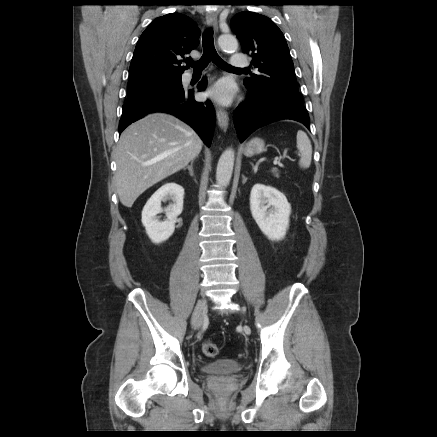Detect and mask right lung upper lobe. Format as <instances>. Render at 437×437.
I'll list each match as a JSON object with an SVG mask.
<instances>
[{
    "label": "right lung upper lobe",
    "mask_w": 437,
    "mask_h": 437,
    "mask_svg": "<svg viewBox=\"0 0 437 437\" xmlns=\"http://www.w3.org/2000/svg\"><path fill=\"white\" fill-rule=\"evenodd\" d=\"M200 29L186 15L170 13L154 19L134 50L129 78L181 76L185 55L199 44ZM190 59V58H188Z\"/></svg>",
    "instance_id": "right-lung-upper-lobe-1"
}]
</instances>
